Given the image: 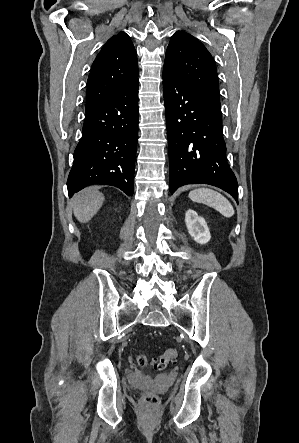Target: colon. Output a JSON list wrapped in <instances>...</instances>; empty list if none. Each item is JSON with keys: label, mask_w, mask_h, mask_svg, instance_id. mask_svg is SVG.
Listing matches in <instances>:
<instances>
[{"label": "colon", "mask_w": 299, "mask_h": 443, "mask_svg": "<svg viewBox=\"0 0 299 443\" xmlns=\"http://www.w3.org/2000/svg\"><path fill=\"white\" fill-rule=\"evenodd\" d=\"M178 356V351L174 348L166 350L162 355L153 358L151 361H149L146 356L140 354L137 357L138 364L141 367H146L148 365H151L155 369H163L166 367V365L174 361ZM142 401L146 403L147 405H156L158 403V397L151 393V392H145L142 395Z\"/></svg>", "instance_id": "5ec220e1"}]
</instances>
